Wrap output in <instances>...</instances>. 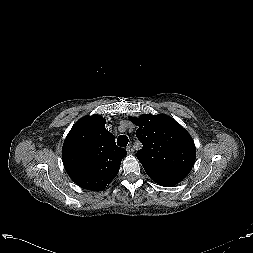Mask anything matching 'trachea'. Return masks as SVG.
<instances>
[{"label":"trachea","instance_id":"obj_1","mask_svg":"<svg viewBox=\"0 0 253 253\" xmlns=\"http://www.w3.org/2000/svg\"><path fill=\"white\" fill-rule=\"evenodd\" d=\"M128 144V137L125 135H120L117 139V145L120 147H126Z\"/></svg>","mask_w":253,"mask_h":253}]
</instances>
